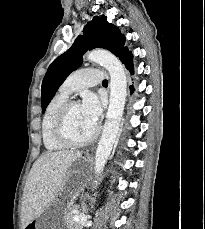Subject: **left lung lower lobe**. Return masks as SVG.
Wrapping results in <instances>:
<instances>
[{
	"label": "left lung lower lobe",
	"mask_w": 205,
	"mask_h": 229,
	"mask_svg": "<svg viewBox=\"0 0 205 229\" xmlns=\"http://www.w3.org/2000/svg\"><path fill=\"white\" fill-rule=\"evenodd\" d=\"M119 59L123 64H125V67L130 71L131 74L134 73V67H133V55L132 52L125 47L118 55ZM131 93L134 92L133 86H130Z\"/></svg>",
	"instance_id": "1"
}]
</instances>
